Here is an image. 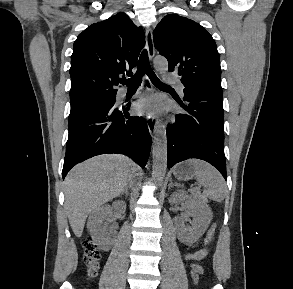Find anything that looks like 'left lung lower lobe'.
I'll return each instance as SVG.
<instances>
[{
    "label": "left lung lower lobe",
    "mask_w": 293,
    "mask_h": 289,
    "mask_svg": "<svg viewBox=\"0 0 293 289\" xmlns=\"http://www.w3.org/2000/svg\"><path fill=\"white\" fill-rule=\"evenodd\" d=\"M187 111L176 115L175 124L167 127L168 169L189 159H202L216 167L225 180L223 102L209 92L184 91Z\"/></svg>",
    "instance_id": "0a47b994"
}]
</instances>
